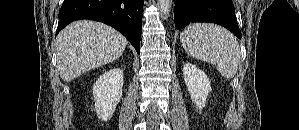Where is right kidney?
<instances>
[{
	"mask_svg": "<svg viewBox=\"0 0 299 130\" xmlns=\"http://www.w3.org/2000/svg\"><path fill=\"white\" fill-rule=\"evenodd\" d=\"M122 88L123 71L120 68H113L105 72L94 83L93 97L95 111L99 119L107 121L112 117L122 98Z\"/></svg>",
	"mask_w": 299,
	"mask_h": 130,
	"instance_id": "1",
	"label": "right kidney"
}]
</instances>
